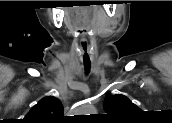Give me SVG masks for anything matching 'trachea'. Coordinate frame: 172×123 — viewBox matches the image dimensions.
Masks as SVG:
<instances>
[{
    "label": "trachea",
    "mask_w": 172,
    "mask_h": 123,
    "mask_svg": "<svg viewBox=\"0 0 172 123\" xmlns=\"http://www.w3.org/2000/svg\"><path fill=\"white\" fill-rule=\"evenodd\" d=\"M88 57H89V55H88V53H87V51H86V49H85L84 58H88ZM84 65H85L86 72L88 73L89 70H90V62L85 61V62H84Z\"/></svg>",
    "instance_id": "3493384b"
}]
</instances>
